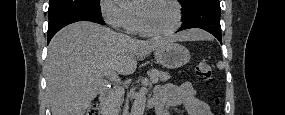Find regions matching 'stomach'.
I'll use <instances>...</instances> for the list:
<instances>
[{"mask_svg":"<svg viewBox=\"0 0 285 115\" xmlns=\"http://www.w3.org/2000/svg\"><path fill=\"white\" fill-rule=\"evenodd\" d=\"M154 55L157 62L168 69L180 68L190 60L188 49L174 42L155 49Z\"/></svg>","mask_w":285,"mask_h":115,"instance_id":"obj_1","label":"stomach"}]
</instances>
